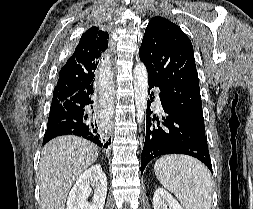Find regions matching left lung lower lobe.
<instances>
[{"label":"left lung lower lobe","instance_id":"left-lung-lower-lobe-1","mask_svg":"<svg viewBox=\"0 0 253 209\" xmlns=\"http://www.w3.org/2000/svg\"><path fill=\"white\" fill-rule=\"evenodd\" d=\"M154 86L160 88V101L164 116L159 121L150 105L154 99ZM150 98L147 101L146 136L141 157V174L146 165L155 157L166 154H186L193 156L203 162L212 172V165L205 133L189 125L170 106L165 94L159 84L149 78ZM157 121V123H154Z\"/></svg>","mask_w":253,"mask_h":209}]
</instances>
